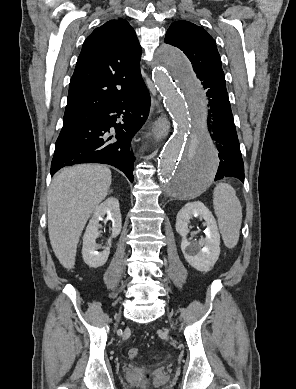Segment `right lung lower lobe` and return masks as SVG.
<instances>
[{
	"instance_id": "right-lung-lower-lobe-1",
	"label": "right lung lower lobe",
	"mask_w": 296,
	"mask_h": 389,
	"mask_svg": "<svg viewBox=\"0 0 296 389\" xmlns=\"http://www.w3.org/2000/svg\"><path fill=\"white\" fill-rule=\"evenodd\" d=\"M149 107L150 96L140 74L114 105L62 128L55 144L51 175L64 166L103 163L118 168L133 182L135 158L131 141L147 118ZM117 118H122L123 124H116ZM111 127L114 135H109Z\"/></svg>"
}]
</instances>
